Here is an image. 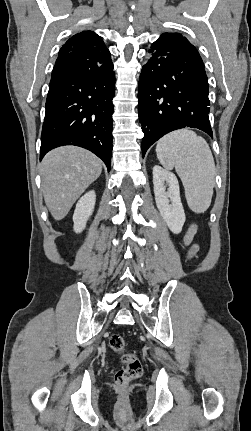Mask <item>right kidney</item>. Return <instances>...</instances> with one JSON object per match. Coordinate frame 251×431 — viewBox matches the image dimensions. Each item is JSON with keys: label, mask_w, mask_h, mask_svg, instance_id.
<instances>
[{"label": "right kidney", "mask_w": 251, "mask_h": 431, "mask_svg": "<svg viewBox=\"0 0 251 431\" xmlns=\"http://www.w3.org/2000/svg\"><path fill=\"white\" fill-rule=\"evenodd\" d=\"M95 202L96 194L94 191L87 192L77 202L73 214V228L76 233H80L85 229L87 220L94 211Z\"/></svg>", "instance_id": "obj_1"}]
</instances>
